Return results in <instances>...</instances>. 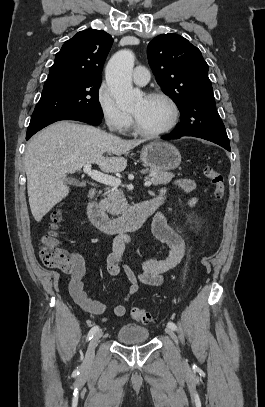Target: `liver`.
Returning a JSON list of instances; mask_svg holds the SVG:
<instances>
[{
    "label": "liver",
    "mask_w": 265,
    "mask_h": 407,
    "mask_svg": "<svg viewBox=\"0 0 265 407\" xmlns=\"http://www.w3.org/2000/svg\"><path fill=\"white\" fill-rule=\"evenodd\" d=\"M143 142L124 140L99 128L68 121L54 123L38 132L29 141L24 157L34 219L40 222L69 194L67 174L86 164H97L103 172H121L127 166L121 155Z\"/></svg>",
    "instance_id": "liver-1"
}]
</instances>
